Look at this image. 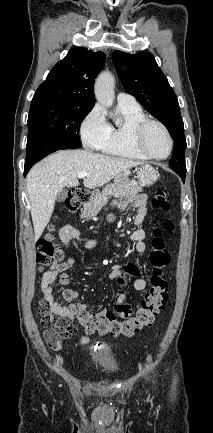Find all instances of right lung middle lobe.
I'll return each instance as SVG.
<instances>
[{"mask_svg": "<svg viewBox=\"0 0 213 433\" xmlns=\"http://www.w3.org/2000/svg\"><path fill=\"white\" fill-rule=\"evenodd\" d=\"M92 108L72 102L32 100L28 116V139L47 135L80 147V125Z\"/></svg>", "mask_w": 213, "mask_h": 433, "instance_id": "obj_1", "label": "right lung middle lobe"}]
</instances>
